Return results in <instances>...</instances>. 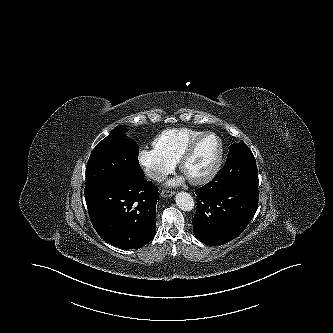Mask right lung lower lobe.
Wrapping results in <instances>:
<instances>
[{
  "instance_id": "obj_1",
  "label": "right lung lower lobe",
  "mask_w": 333,
  "mask_h": 333,
  "mask_svg": "<svg viewBox=\"0 0 333 333\" xmlns=\"http://www.w3.org/2000/svg\"><path fill=\"white\" fill-rule=\"evenodd\" d=\"M85 199L91 223L107 243L136 249L154 237L159 193L144 176L88 192Z\"/></svg>"
}]
</instances>
